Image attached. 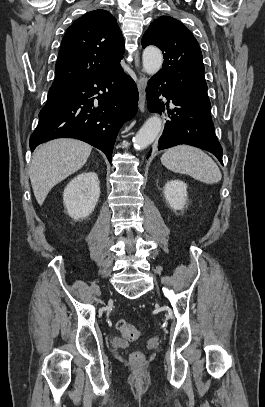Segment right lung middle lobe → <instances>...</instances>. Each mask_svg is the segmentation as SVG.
<instances>
[{
  "mask_svg": "<svg viewBox=\"0 0 265 407\" xmlns=\"http://www.w3.org/2000/svg\"><path fill=\"white\" fill-rule=\"evenodd\" d=\"M68 88V86H51L48 92V97L63 93Z\"/></svg>",
  "mask_w": 265,
  "mask_h": 407,
  "instance_id": "dd1d6c3e",
  "label": "right lung middle lobe"
}]
</instances>
